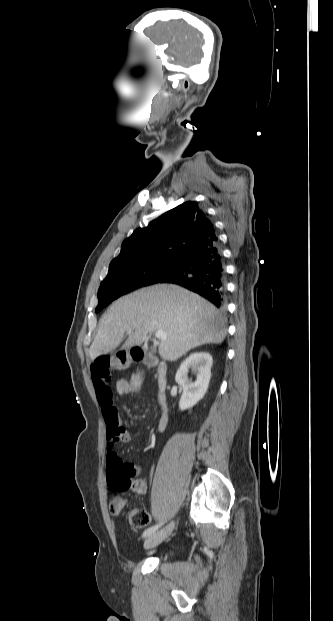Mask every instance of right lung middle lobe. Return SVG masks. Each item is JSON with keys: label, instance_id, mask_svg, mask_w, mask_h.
<instances>
[{"label": "right lung middle lobe", "instance_id": "obj_1", "mask_svg": "<svg viewBox=\"0 0 333 621\" xmlns=\"http://www.w3.org/2000/svg\"><path fill=\"white\" fill-rule=\"evenodd\" d=\"M183 258L159 257L126 263L110 264L106 278L98 290L99 312L113 300L137 288L160 283L178 271Z\"/></svg>", "mask_w": 333, "mask_h": 621}]
</instances>
